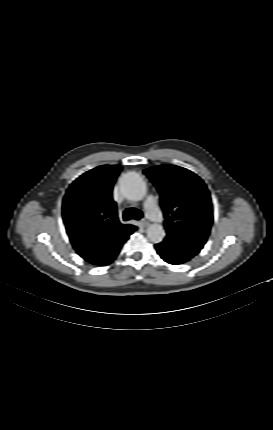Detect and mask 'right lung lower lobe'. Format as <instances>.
Segmentation results:
<instances>
[{
	"label": "right lung lower lobe",
	"mask_w": 273,
	"mask_h": 430,
	"mask_svg": "<svg viewBox=\"0 0 273 430\" xmlns=\"http://www.w3.org/2000/svg\"><path fill=\"white\" fill-rule=\"evenodd\" d=\"M122 244H115V243H113L111 245L103 244L102 248L105 249L104 255L100 259L95 260L94 262H90V263L100 265V266L110 264L115 259L117 254L119 253V250H120Z\"/></svg>",
	"instance_id": "right-lung-lower-lobe-1"
}]
</instances>
